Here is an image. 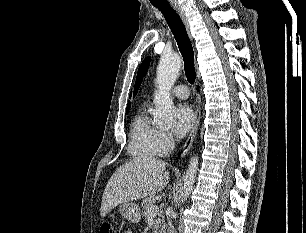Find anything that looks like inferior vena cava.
Returning a JSON list of instances; mask_svg holds the SVG:
<instances>
[{
    "label": "inferior vena cava",
    "instance_id": "inferior-vena-cava-1",
    "mask_svg": "<svg viewBox=\"0 0 306 233\" xmlns=\"http://www.w3.org/2000/svg\"><path fill=\"white\" fill-rule=\"evenodd\" d=\"M168 233H176L174 226L172 225L171 220H168Z\"/></svg>",
    "mask_w": 306,
    "mask_h": 233
}]
</instances>
